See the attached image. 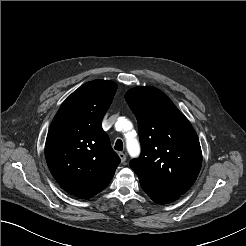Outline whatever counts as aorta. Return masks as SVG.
<instances>
[{"instance_id": "obj_1", "label": "aorta", "mask_w": 246, "mask_h": 246, "mask_svg": "<svg viewBox=\"0 0 246 246\" xmlns=\"http://www.w3.org/2000/svg\"><path fill=\"white\" fill-rule=\"evenodd\" d=\"M121 123H123L125 127L131 125V123L126 119ZM135 136L136 134L134 131H129L125 135L127 150L131 157H137L140 154V145Z\"/></svg>"}]
</instances>
